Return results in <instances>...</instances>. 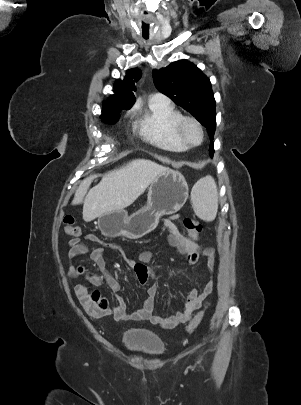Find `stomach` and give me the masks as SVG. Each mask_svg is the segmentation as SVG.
<instances>
[{
    "mask_svg": "<svg viewBox=\"0 0 301 405\" xmlns=\"http://www.w3.org/2000/svg\"><path fill=\"white\" fill-rule=\"evenodd\" d=\"M188 192L183 174L167 169L151 183L147 206L130 216L122 210L104 214L98 220L100 228L112 236L138 239L156 228L160 216L178 212Z\"/></svg>",
    "mask_w": 301,
    "mask_h": 405,
    "instance_id": "stomach-1",
    "label": "stomach"
}]
</instances>
